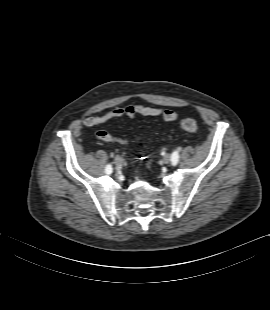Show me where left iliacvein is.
<instances>
[{
  "mask_svg": "<svg viewBox=\"0 0 270 310\" xmlns=\"http://www.w3.org/2000/svg\"><path fill=\"white\" fill-rule=\"evenodd\" d=\"M163 162L165 164H169L171 162V156L169 154H166L164 157H163Z\"/></svg>",
  "mask_w": 270,
  "mask_h": 310,
  "instance_id": "1",
  "label": "left iliac vein"
}]
</instances>
